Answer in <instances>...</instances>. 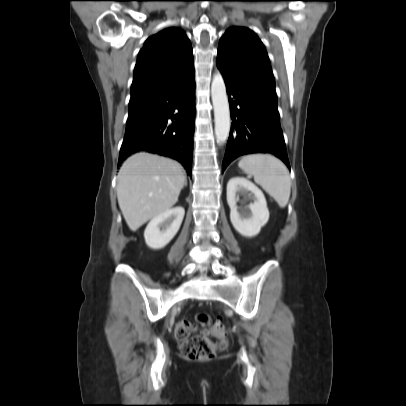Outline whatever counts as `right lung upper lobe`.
I'll return each instance as SVG.
<instances>
[{
  "label": "right lung upper lobe",
  "mask_w": 406,
  "mask_h": 406,
  "mask_svg": "<svg viewBox=\"0 0 406 406\" xmlns=\"http://www.w3.org/2000/svg\"><path fill=\"white\" fill-rule=\"evenodd\" d=\"M194 72L192 46L185 32L170 27L149 37L138 54L129 106L164 91Z\"/></svg>",
  "instance_id": "obj_1"
}]
</instances>
